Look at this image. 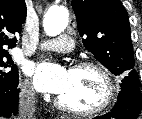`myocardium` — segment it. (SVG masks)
Masks as SVG:
<instances>
[{"mask_svg": "<svg viewBox=\"0 0 142 119\" xmlns=\"http://www.w3.org/2000/svg\"><path fill=\"white\" fill-rule=\"evenodd\" d=\"M88 69L97 72L103 81L104 93L100 103L90 109H77L67 105L60 99V97H57L55 99V104L59 109L74 115L92 116L103 112L111 105L115 95V85L110 73L102 65L90 61L79 62L72 67V70L74 71Z\"/></svg>", "mask_w": 142, "mask_h": 119, "instance_id": "myocardium-1", "label": "myocardium"}]
</instances>
